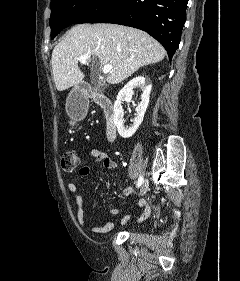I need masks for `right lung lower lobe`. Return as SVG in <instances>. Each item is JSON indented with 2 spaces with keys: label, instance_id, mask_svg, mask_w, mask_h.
<instances>
[{
  "label": "right lung lower lobe",
  "instance_id": "right-lung-lower-lobe-1",
  "mask_svg": "<svg viewBox=\"0 0 240 281\" xmlns=\"http://www.w3.org/2000/svg\"><path fill=\"white\" fill-rule=\"evenodd\" d=\"M188 0H118L92 23H115L146 31L166 49L169 59L178 48Z\"/></svg>",
  "mask_w": 240,
  "mask_h": 281
}]
</instances>
